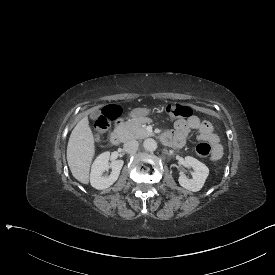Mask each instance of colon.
Segmentation results:
<instances>
[{"instance_id":"5ec220e1","label":"colon","mask_w":275,"mask_h":275,"mask_svg":"<svg viewBox=\"0 0 275 275\" xmlns=\"http://www.w3.org/2000/svg\"><path fill=\"white\" fill-rule=\"evenodd\" d=\"M165 111L171 120L175 118H189L193 111L190 107L180 103H168ZM121 116V108L118 105H111L104 109L95 124L94 137L97 141L101 140L108 129L110 121H114ZM195 151L198 156L206 158L211 153V145L206 141H201L195 146Z\"/></svg>"}]
</instances>
